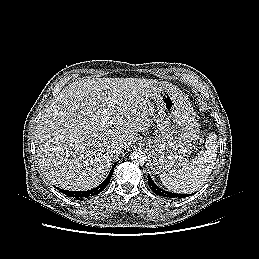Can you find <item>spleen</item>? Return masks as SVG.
<instances>
[{
  "mask_svg": "<svg viewBox=\"0 0 259 259\" xmlns=\"http://www.w3.org/2000/svg\"><path fill=\"white\" fill-rule=\"evenodd\" d=\"M217 135L210 133L205 142V149L182 169L160 175L162 184L177 193H193L200 189L208 179L215 165L217 156Z\"/></svg>",
  "mask_w": 259,
  "mask_h": 259,
  "instance_id": "3e777b00",
  "label": "spleen"
}]
</instances>
